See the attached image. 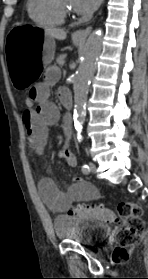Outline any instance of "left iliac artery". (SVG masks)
<instances>
[{
    "mask_svg": "<svg viewBox=\"0 0 148 279\" xmlns=\"http://www.w3.org/2000/svg\"><path fill=\"white\" fill-rule=\"evenodd\" d=\"M82 172H83L84 174H88V173L90 172V168H89V166H88L87 164H84V165L82 166Z\"/></svg>",
    "mask_w": 148,
    "mask_h": 279,
    "instance_id": "obj_1",
    "label": "left iliac artery"
}]
</instances>
